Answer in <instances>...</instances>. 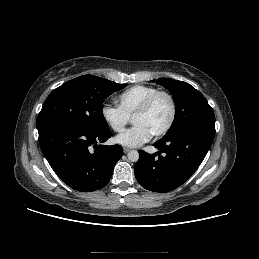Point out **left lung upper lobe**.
Masks as SVG:
<instances>
[{
    "mask_svg": "<svg viewBox=\"0 0 259 259\" xmlns=\"http://www.w3.org/2000/svg\"><path fill=\"white\" fill-rule=\"evenodd\" d=\"M164 86L175 102L174 121L165 136L188 128H200L215 133V116L206 98L192 85L170 78L152 80Z\"/></svg>",
    "mask_w": 259,
    "mask_h": 259,
    "instance_id": "left-lung-upper-lobe-1",
    "label": "left lung upper lobe"
}]
</instances>
